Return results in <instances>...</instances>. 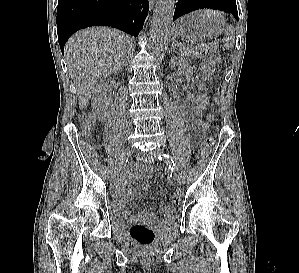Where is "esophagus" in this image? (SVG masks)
<instances>
[{
    "mask_svg": "<svg viewBox=\"0 0 299 273\" xmlns=\"http://www.w3.org/2000/svg\"><path fill=\"white\" fill-rule=\"evenodd\" d=\"M154 3H155V0H149V5H150V8H153V6H154Z\"/></svg>",
    "mask_w": 299,
    "mask_h": 273,
    "instance_id": "obj_1",
    "label": "esophagus"
}]
</instances>
